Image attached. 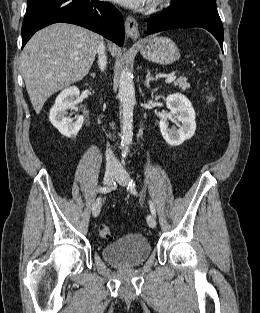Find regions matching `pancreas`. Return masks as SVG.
<instances>
[{
    "mask_svg": "<svg viewBox=\"0 0 260 313\" xmlns=\"http://www.w3.org/2000/svg\"><path fill=\"white\" fill-rule=\"evenodd\" d=\"M174 85L178 86L182 90L190 88V84L187 82L185 77H179L176 81H174Z\"/></svg>",
    "mask_w": 260,
    "mask_h": 313,
    "instance_id": "1",
    "label": "pancreas"
}]
</instances>
